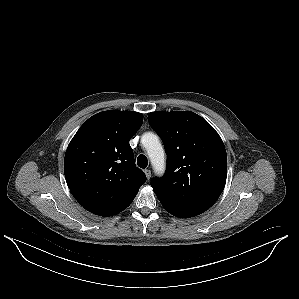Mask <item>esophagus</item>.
I'll return each mask as SVG.
<instances>
[{
  "instance_id": "34e87169",
  "label": "esophagus",
  "mask_w": 299,
  "mask_h": 299,
  "mask_svg": "<svg viewBox=\"0 0 299 299\" xmlns=\"http://www.w3.org/2000/svg\"><path fill=\"white\" fill-rule=\"evenodd\" d=\"M144 172H145L147 179L149 180L151 178V170L145 169Z\"/></svg>"
}]
</instances>
